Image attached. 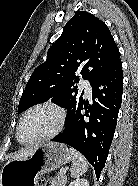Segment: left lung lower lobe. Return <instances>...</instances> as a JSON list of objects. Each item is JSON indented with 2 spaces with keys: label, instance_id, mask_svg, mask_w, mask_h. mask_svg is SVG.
Instances as JSON below:
<instances>
[{
  "label": "left lung lower lobe",
  "instance_id": "left-lung-lower-lobe-1",
  "mask_svg": "<svg viewBox=\"0 0 138 186\" xmlns=\"http://www.w3.org/2000/svg\"><path fill=\"white\" fill-rule=\"evenodd\" d=\"M92 104L82 100L72 109L64 132L52 141L65 143L91 163L96 177L105 166L114 136L122 101V62H117L102 72L92 83ZM85 110L82 114L81 110Z\"/></svg>",
  "mask_w": 138,
  "mask_h": 186
}]
</instances>
